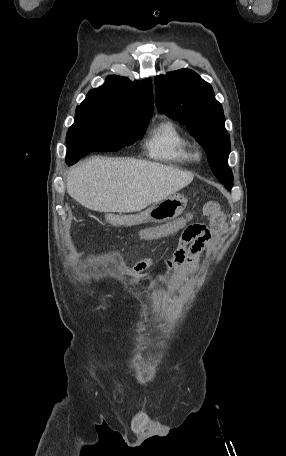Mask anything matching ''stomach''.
Listing matches in <instances>:
<instances>
[{
	"mask_svg": "<svg viewBox=\"0 0 286 456\" xmlns=\"http://www.w3.org/2000/svg\"><path fill=\"white\" fill-rule=\"evenodd\" d=\"M188 200L181 194H172L152 204L140 216L145 222L163 223L179 216L186 208Z\"/></svg>",
	"mask_w": 286,
	"mask_h": 456,
	"instance_id": "1",
	"label": "stomach"
}]
</instances>
